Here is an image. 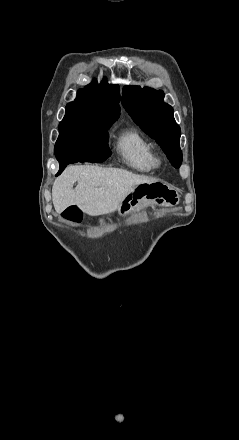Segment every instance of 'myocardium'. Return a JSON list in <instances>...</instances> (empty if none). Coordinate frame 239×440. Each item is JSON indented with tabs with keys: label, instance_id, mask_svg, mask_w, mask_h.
Listing matches in <instances>:
<instances>
[{
	"label": "myocardium",
	"instance_id": "myocardium-1",
	"mask_svg": "<svg viewBox=\"0 0 239 440\" xmlns=\"http://www.w3.org/2000/svg\"><path fill=\"white\" fill-rule=\"evenodd\" d=\"M156 163H157V165L162 163V159L160 156H156Z\"/></svg>",
	"mask_w": 239,
	"mask_h": 440
}]
</instances>
